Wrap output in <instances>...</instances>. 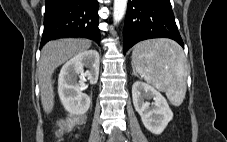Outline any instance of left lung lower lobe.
I'll return each mask as SVG.
<instances>
[{"mask_svg": "<svg viewBox=\"0 0 227 142\" xmlns=\"http://www.w3.org/2000/svg\"><path fill=\"white\" fill-rule=\"evenodd\" d=\"M170 38L183 48L170 0H129L123 30L124 54L139 41Z\"/></svg>", "mask_w": 227, "mask_h": 142, "instance_id": "0a47b994", "label": "left lung lower lobe"}]
</instances>
